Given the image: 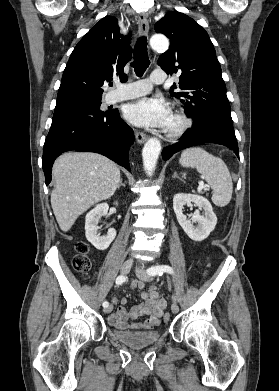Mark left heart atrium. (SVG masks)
Masks as SVG:
<instances>
[{"label": "left heart atrium", "instance_id": "39dd6f15", "mask_svg": "<svg viewBox=\"0 0 279 391\" xmlns=\"http://www.w3.org/2000/svg\"><path fill=\"white\" fill-rule=\"evenodd\" d=\"M125 117L138 126L167 129L172 114L163 99L143 97L126 107Z\"/></svg>", "mask_w": 279, "mask_h": 391}]
</instances>
